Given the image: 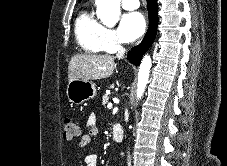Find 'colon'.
<instances>
[{
  "instance_id": "colon-1",
  "label": "colon",
  "mask_w": 227,
  "mask_h": 166,
  "mask_svg": "<svg viewBox=\"0 0 227 166\" xmlns=\"http://www.w3.org/2000/svg\"><path fill=\"white\" fill-rule=\"evenodd\" d=\"M63 135L67 140L76 138L79 135V128L75 120L72 118H65L62 123Z\"/></svg>"
}]
</instances>
